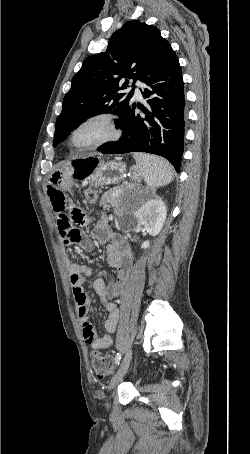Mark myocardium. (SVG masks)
Returning <instances> with one entry per match:
<instances>
[{"instance_id":"1","label":"myocardium","mask_w":250,"mask_h":454,"mask_svg":"<svg viewBox=\"0 0 250 454\" xmlns=\"http://www.w3.org/2000/svg\"><path fill=\"white\" fill-rule=\"evenodd\" d=\"M91 126H100L104 130V134L99 137L98 139L84 144L80 145L76 143L75 138L77 134L82 131L85 128L91 127ZM120 136V130L117 126L115 117L110 114V113H96L92 114L80 122H78L73 129L69 133L68 137V142L71 148L78 152H87V151H92L95 149L100 148L101 146H104L116 139H118Z\"/></svg>"}]
</instances>
